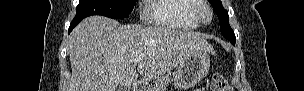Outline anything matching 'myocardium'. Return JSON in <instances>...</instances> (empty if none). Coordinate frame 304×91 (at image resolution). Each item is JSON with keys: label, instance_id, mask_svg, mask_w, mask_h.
<instances>
[{"label": "myocardium", "instance_id": "1", "mask_svg": "<svg viewBox=\"0 0 304 91\" xmlns=\"http://www.w3.org/2000/svg\"><path fill=\"white\" fill-rule=\"evenodd\" d=\"M198 7L195 10V17L201 24H209L213 18V12L205 1H198Z\"/></svg>", "mask_w": 304, "mask_h": 91}]
</instances>
